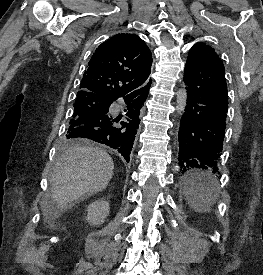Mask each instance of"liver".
Segmentation results:
<instances>
[{"mask_svg": "<svg viewBox=\"0 0 263 275\" xmlns=\"http://www.w3.org/2000/svg\"><path fill=\"white\" fill-rule=\"evenodd\" d=\"M114 163L106 151L73 146L57 160L51 176V201L42 206L44 220L55 222L80 199L106 189Z\"/></svg>", "mask_w": 263, "mask_h": 275, "instance_id": "liver-1", "label": "liver"}]
</instances>
